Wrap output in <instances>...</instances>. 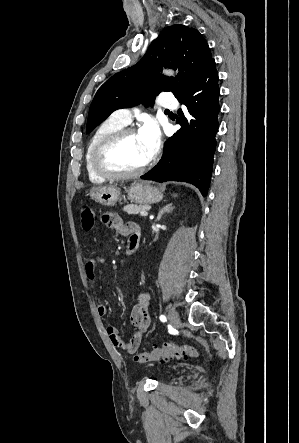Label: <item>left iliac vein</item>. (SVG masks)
Wrapping results in <instances>:
<instances>
[{
  "mask_svg": "<svg viewBox=\"0 0 299 443\" xmlns=\"http://www.w3.org/2000/svg\"><path fill=\"white\" fill-rule=\"evenodd\" d=\"M168 318L173 327L179 328L181 326L180 317L176 310L171 309L169 311Z\"/></svg>",
  "mask_w": 299,
  "mask_h": 443,
  "instance_id": "1",
  "label": "left iliac vein"
}]
</instances>
